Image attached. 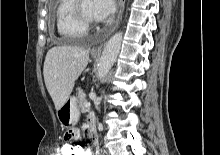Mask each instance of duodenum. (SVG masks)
I'll list each match as a JSON object with an SVG mask.
<instances>
[{
  "label": "duodenum",
  "instance_id": "1",
  "mask_svg": "<svg viewBox=\"0 0 220 155\" xmlns=\"http://www.w3.org/2000/svg\"><path fill=\"white\" fill-rule=\"evenodd\" d=\"M89 135L91 138L95 139L97 137V129L95 125V121L91 120L89 124Z\"/></svg>",
  "mask_w": 220,
  "mask_h": 155
}]
</instances>
